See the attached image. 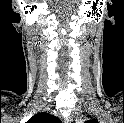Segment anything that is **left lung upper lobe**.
Segmentation results:
<instances>
[{"instance_id":"1","label":"left lung upper lobe","mask_w":124,"mask_h":123,"mask_svg":"<svg viewBox=\"0 0 124 123\" xmlns=\"http://www.w3.org/2000/svg\"><path fill=\"white\" fill-rule=\"evenodd\" d=\"M89 117V116H88ZM85 123H97L96 121L94 120H89V121H86Z\"/></svg>"}]
</instances>
